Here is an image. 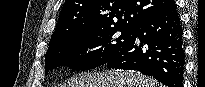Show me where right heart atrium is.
Instances as JSON below:
<instances>
[{
	"mask_svg": "<svg viewBox=\"0 0 205 87\" xmlns=\"http://www.w3.org/2000/svg\"><path fill=\"white\" fill-rule=\"evenodd\" d=\"M92 51H93V48L91 46H84L81 49V53L84 55H87V54L91 53Z\"/></svg>",
	"mask_w": 205,
	"mask_h": 87,
	"instance_id": "obj_1",
	"label": "right heart atrium"
}]
</instances>
